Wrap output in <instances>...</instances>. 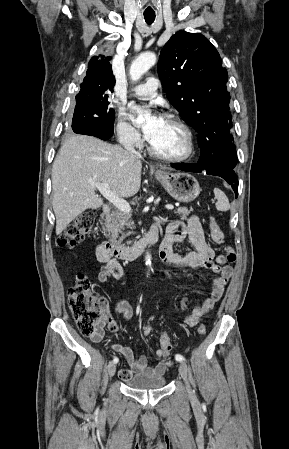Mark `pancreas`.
<instances>
[{
	"label": "pancreas",
	"instance_id": "1",
	"mask_svg": "<svg viewBox=\"0 0 289 449\" xmlns=\"http://www.w3.org/2000/svg\"><path fill=\"white\" fill-rule=\"evenodd\" d=\"M174 213L181 216L183 220H186L190 211L186 207H179ZM133 226L134 222L131 220V214L117 210L106 217L103 230L106 237H108L113 244L118 245L121 244L123 239L128 235L124 233L125 227L131 228Z\"/></svg>",
	"mask_w": 289,
	"mask_h": 449
}]
</instances>
